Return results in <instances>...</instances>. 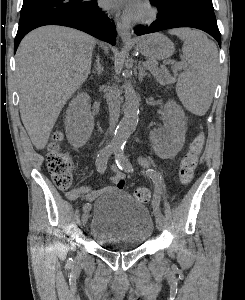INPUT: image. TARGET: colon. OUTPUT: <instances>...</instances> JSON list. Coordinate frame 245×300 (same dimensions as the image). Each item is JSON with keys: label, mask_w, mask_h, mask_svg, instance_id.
Wrapping results in <instances>:
<instances>
[{"label": "colon", "mask_w": 245, "mask_h": 300, "mask_svg": "<svg viewBox=\"0 0 245 300\" xmlns=\"http://www.w3.org/2000/svg\"><path fill=\"white\" fill-rule=\"evenodd\" d=\"M61 140V133H55L53 141L49 145L47 165L54 184L59 189L65 190L72 183L74 165L68 153L60 147ZM204 143L205 135L203 132L198 133L191 141L179 167V180L182 184L187 185L192 181ZM134 196L137 201L147 203L151 199V191L146 187H140L135 190Z\"/></svg>", "instance_id": "obj_1"}]
</instances>
